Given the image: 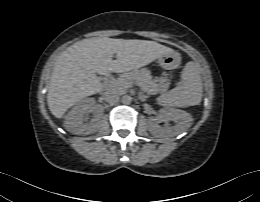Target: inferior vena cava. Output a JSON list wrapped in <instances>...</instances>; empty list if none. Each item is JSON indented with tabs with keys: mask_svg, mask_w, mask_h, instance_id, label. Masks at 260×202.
I'll return each mask as SVG.
<instances>
[{
	"mask_svg": "<svg viewBox=\"0 0 260 202\" xmlns=\"http://www.w3.org/2000/svg\"><path fill=\"white\" fill-rule=\"evenodd\" d=\"M104 99L109 103V104H115L119 100V93L115 91H107L104 93Z\"/></svg>",
	"mask_w": 260,
	"mask_h": 202,
	"instance_id": "inferior-vena-cava-1",
	"label": "inferior vena cava"
}]
</instances>
